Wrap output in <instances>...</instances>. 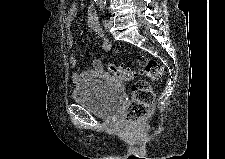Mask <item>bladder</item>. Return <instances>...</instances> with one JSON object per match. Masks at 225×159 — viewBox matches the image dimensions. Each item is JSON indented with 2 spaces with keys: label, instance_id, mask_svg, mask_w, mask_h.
<instances>
[{
  "label": "bladder",
  "instance_id": "bladder-1",
  "mask_svg": "<svg viewBox=\"0 0 225 159\" xmlns=\"http://www.w3.org/2000/svg\"><path fill=\"white\" fill-rule=\"evenodd\" d=\"M73 101L104 120L117 118L121 108L118 92L108 83L93 80L76 86L72 91Z\"/></svg>",
  "mask_w": 225,
  "mask_h": 159
}]
</instances>
